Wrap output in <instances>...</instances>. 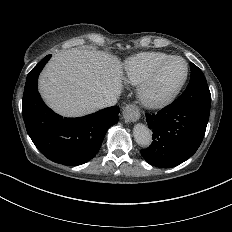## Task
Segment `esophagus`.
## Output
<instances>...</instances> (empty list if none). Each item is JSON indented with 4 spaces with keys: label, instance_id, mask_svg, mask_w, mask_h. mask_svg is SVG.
<instances>
[{
    "label": "esophagus",
    "instance_id": "1",
    "mask_svg": "<svg viewBox=\"0 0 232 232\" xmlns=\"http://www.w3.org/2000/svg\"><path fill=\"white\" fill-rule=\"evenodd\" d=\"M123 118L126 122L132 123L140 118V110L134 104L126 105L123 109Z\"/></svg>",
    "mask_w": 232,
    "mask_h": 232
}]
</instances>
